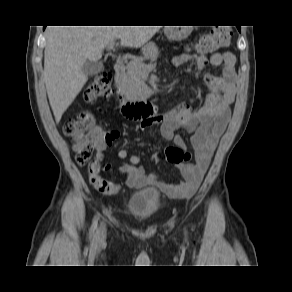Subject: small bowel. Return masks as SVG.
I'll list each match as a JSON object with an SVG mask.
<instances>
[{
    "mask_svg": "<svg viewBox=\"0 0 292 292\" xmlns=\"http://www.w3.org/2000/svg\"><path fill=\"white\" fill-rule=\"evenodd\" d=\"M173 66L179 68L187 63H193L197 70H204L207 65L222 66L220 76L206 74L204 81L210 93L199 108H193L183 103L172 110L156 115L148 121H142L140 129L153 124L160 125L161 136L172 141L180 148L185 147L182 137L176 134L179 128H185L192 133L191 146L195 151V163L177 165L183 180L179 183H167L158 178L154 173H146L139 166L140 156L130 155L127 150L118 152L120 159L128 160L120 166V172L126 177V184L133 189H141L146 186H156L172 198H189L198 189L204 174L206 173L212 154L224 133L230 120L231 109L236 95L237 74L235 69L236 58L231 52H216L209 58L205 55L180 54L173 58ZM119 137L116 130L102 131L95 129L94 142L96 146V160L101 162L104 152ZM109 166H106L107 170ZM114 193L119 185L115 184Z\"/></svg>",
    "mask_w": 292,
    "mask_h": 292,
    "instance_id": "1",
    "label": "small bowel"
}]
</instances>
